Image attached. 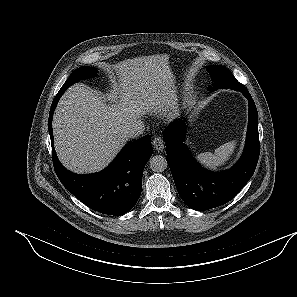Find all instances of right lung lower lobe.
<instances>
[{"instance_id": "obj_1", "label": "right lung lower lobe", "mask_w": 297, "mask_h": 297, "mask_svg": "<svg viewBox=\"0 0 297 297\" xmlns=\"http://www.w3.org/2000/svg\"><path fill=\"white\" fill-rule=\"evenodd\" d=\"M64 92L60 89L54 98L48 121L55 172L61 183L89 208L108 215L125 214L141 194L143 170L153 153L150 136L127 144L109 166L98 173L78 175L68 171L56 155L51 125L53 112Z\"/></svg>"}]
</instances>
